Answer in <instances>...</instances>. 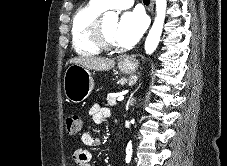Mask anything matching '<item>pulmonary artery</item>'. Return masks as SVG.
<instances>
[{
	"label": "pulmonary artery",
	"mask_w": 227,
	"mask_h": 166,
	"mask_svg": "<svg viewBox=\"0 0 227 166\" xmlns=\"http://www.w3.org/2000/svg\"><path fill=\"white\" fill-rule=\"evenodd\" d=\"M104 9H125L134 5L135 0H93Z\"/></svg>",
	"instance_id": "e3ab8cb5"
}]
</instances>
